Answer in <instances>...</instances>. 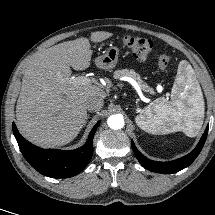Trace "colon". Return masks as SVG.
Masks as SVG:
<instances>
[{"instance_id": "colon-1", "label": "colon", "mask_w": 215, "mask_h": 215, "mask_svg": "<svg viewBox=\"0 0 215 215\" xmlns=\"http://www.w3.org/2000/svg\"><path fill=\"white\" fill-rule=\"evenodd\" d=\"M124 46L129 50L131 55L139 60H144L148 57L153 49L151 40L136 36H126L123 39ZM171 61V55L163 53L159 55L157 62L160 68L165 69Z\"/></svg>"}]
</instances>
